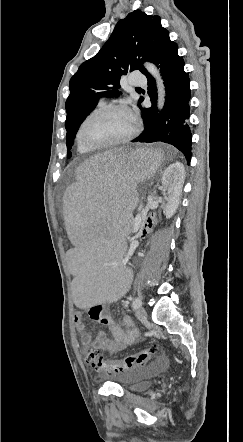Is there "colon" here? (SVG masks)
Returning <instances> with one entry per match:
<instances>
[{
    "label": "colon",
    "mask_w": 243,
    "mask_h": 442,
    "mask_svg": "<svg viewBox=\"0 0 243 442\" xmlns=\"http://www.w3.org/2000/svg\"><path fill=\"white\" fill-rule=\"evenodd\" d=\"M142 229L138 238L139 243L145 244L148 248L153 246V238L155 235L152 234L155 225V220L152 216L143 217ZM154 251V248H151ZM158 352L156 346H151L149 348L143 349L138 353L123 356L121 359H105L102 356L96 354L93 349L88 348L86 350V357L83 359V364L85 366H92L96 371L107 374V375H119L133 371L139 367L145 365H151L153 358Z\"/></svg>",
    "instance_id": "5ec220e1"
}]
</instances>
